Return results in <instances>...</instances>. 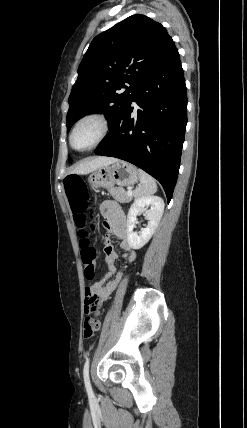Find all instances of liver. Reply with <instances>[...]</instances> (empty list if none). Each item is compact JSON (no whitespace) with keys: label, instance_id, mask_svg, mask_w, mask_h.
I'll use <instances>...</instances> for the list:
<instances>
[{"label":"liver","instance_id":"liver-1","mask_svg":"<svg viewBox=\"0 0 247 428\" xmlns=\"http://www.w3.org/2000/svg\"><path fill=\"white\" fill-rule=\"evenodd\" d=\"M118 161L116 158L113 157H96L89 160H85L78 164L76 167H74L71 170V173H77V174H88L97 168H100L105 165L112 164L114 162Z\"/></svg>","mask_w":247,"mask_h":428}]
</instances>
